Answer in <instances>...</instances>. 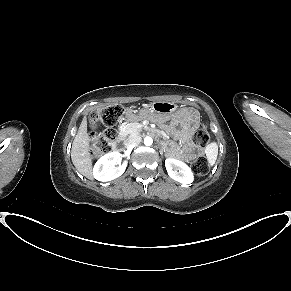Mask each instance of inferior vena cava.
Masks as SVG:
<instances>
[{"instance_id":"1","label":"inferior vena cava","mask_w":291,"mask_h":291,"mask_svg":"<svg viewBox=\"0 0 291 291\" xmlns=\"http://www.w3.org/2000/svg\"><path fill=\"white\" fill-rule=\"evenodd\" d=\"M141 141V138L140 137H134V138H131L129 140V142L127 143V147L128 148H134L135 146H137Z\"/></svg>"}]
</instances>
